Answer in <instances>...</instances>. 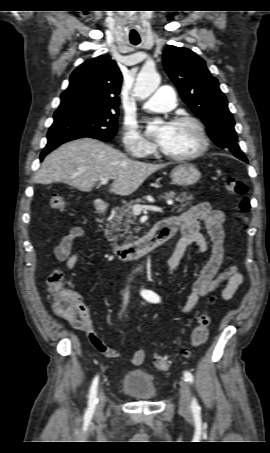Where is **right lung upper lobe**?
Listing matches in <instances>:
<instances>
[{
    "label": "right lung upper lobe",
    "instance_id": "1",
    "mask_svg": "<svg viewBox=\"0 0 270 453\" xmlns=\"http://www.w3.org/2000/svg\"><path fill=\"white\" fill-rule=\"evenodd\" d=\"M121 82V72L110 56L87 60L71 74L54 118L87 111H117Z\"/></svg>",
    "mask_w": 270,
    "mask_h": 453
}]
</instances>
